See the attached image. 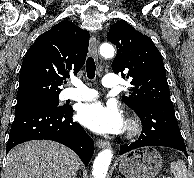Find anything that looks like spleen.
I'll list each match as a JSON object with an SVG mask.
<instances>
[{
  "mask_svg": "<svg viewBox=\"0 0 194 178\" xmlns=\"http://www.w3.org/2000/svg\"><path fill=\"white\" fill-rule=\"evenodd\" d=\"M170 172L174 175V178H188L187 166L183 160L171 162Z\"/></svg>",
  "mask_w": 194,
  "mask_h": 178,
  "instance_id": "3e777b00",
  "label": "spleen"
}]
</instances>
